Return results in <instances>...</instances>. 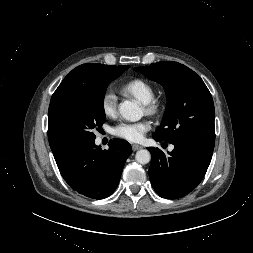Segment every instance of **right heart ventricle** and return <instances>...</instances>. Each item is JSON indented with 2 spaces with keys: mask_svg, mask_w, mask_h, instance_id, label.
Segmentation results:
<instances>
[{
  "mask_svg": "<svg viewBox=\"0 0 253 253\" xmlns=\"http://www.w3.org/2000/svg\"><path fill=\"white\" fill-rule=\"evenodd\" d=\"M121 91L129 96H132L145 104L149 102L155 94L154 87L144 79H133L126 82Z\"/></svg>",
  "mask_w": 253,
  "mask_h": 253,
  "instance_id": "right-heart-ventricle-1",
  "label": "right heart ventricle"
}]
</instances>
